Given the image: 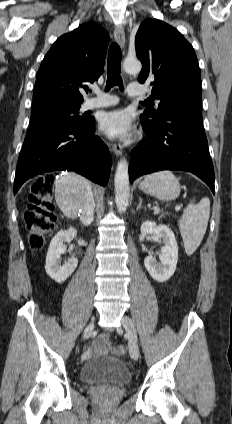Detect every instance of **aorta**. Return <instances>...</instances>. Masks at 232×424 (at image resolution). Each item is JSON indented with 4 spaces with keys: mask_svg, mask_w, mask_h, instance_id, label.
Instances as JSON below:
<instances>
[{
    "mask_svg": "<svg viewBox=\"0 0 232 424\" xmlns=\"http://www.w3.org/2000/svg\"><path fill=\"white\" fill-rule=\"evenodd\" d=\"M123 69L128 74H137L142 69V64L138 59L126 58L123 62ZM115 201L119 213H124L129 204L130 187L128 163L122 158L117 165L115 178Z\"/></svg>",
    "mask_w": 232,
    "mask_h": 424,
    "instance_id": "obj_1",
    "label": "aorta"
}]
</instances>
